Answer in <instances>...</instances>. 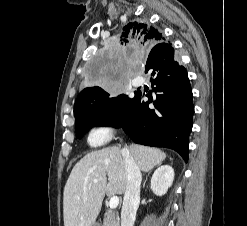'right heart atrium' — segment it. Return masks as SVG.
Instances as JSON below:
<instances>
[{
	"mask_svg": "<svg viewBox=\"0 0 247 226\" xmlns=\"http://www.w3.org/2000/svg\"><path fill=\"white\" fill-rule=\"evenodd\" d=\"M118 130V125L113 118H107L95 126L88 135L91 146H102L110 142Z\"/></svg>",
	"mask_w": 247,
	"mask_h": 226,
	"instance_id": "right-heart-atrium-1",
	"label": "right heart atrium"
}]
</instances>
